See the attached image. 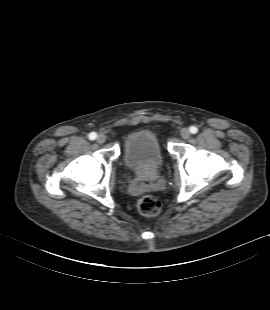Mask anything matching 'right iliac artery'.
<instances>
[{"instance_id": "82829eb1", "label": "right iliac artery", "mask_w": 270, "mask_h": 310, "mask_svg": "<svg viewBox=\"0 0 270 310\" xmlns=\"http://www.w3.org/2000/svg\"><path fill=\"white\" fill-rule=\"evenodd\" d=\"M97 138V134L95 133V132H91L90 134H89V139L90 140H95Z\"/></svg>"}]
</instances>
